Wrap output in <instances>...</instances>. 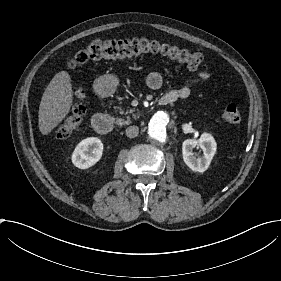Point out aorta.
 I'll use <instances>...</instances> for the list:
<instances>
[{"instance_id": "1", "label": "aorta", "mask_w": 281, "mask_h": 281, "mask_svg": "<svg viewBox=\"0 0 281 281\" xmlns=\"http://www.w3.org/2000/svg\"><path fill=\"white\" fill-rule=\"evenodd\" d=\"M169 116L166 112L160 111L154 114L150 120L148 134L156 142L163 143L168 132Z\"/></svg>"}]
</instances>
